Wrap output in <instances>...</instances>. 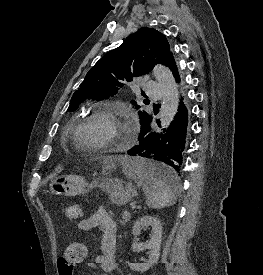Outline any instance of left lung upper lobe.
Segmentation results:
<instances>
[{
	"label": "left lung upper lobe",
	"instance_id": "left-lung-upper-lobe-1",
	"mask_svg": "<svg viewBox=\"0 0 263 275\" xmlns=\"http://www.w3.org/2000/svg\"><path fill=\"white\" fill-rule=\"evenodd\" d=\"M172 59L166 37L155 29L141 28L89 70L80 88L73 94L68 110H76L89 97L113 96L134 77L149 73L157 63L168 67ZM131 102L136 109L140 108L135 101ZM139 118L143 125L151 116L139 111Z\"/></svg>",
	"mask_w": 263,
	"mask_h": 275
}]
</instances>
